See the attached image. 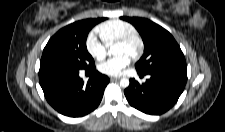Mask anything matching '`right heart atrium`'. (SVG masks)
<instances>
[{
    "instance_id": "1",
    "label": "right heart atrium",
    "mask_w": 225,
    "mask_h": 132,
    "mask_svg": "<svg viewBox=\"0 0 225 132\" xmlns=\"http://www.w3.org/2000/svg\"><path fill=\"white\" fill-rule=\"evenodd\" d=\"M86 49L88 53L96 60H102L107 53V48L104 43H102L95 33L88 34L85 41Z\"/></svg>"
}]
</instances>
